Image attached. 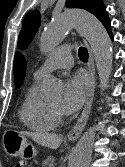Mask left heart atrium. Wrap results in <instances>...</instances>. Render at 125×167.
Instances as JSON below:
<instances>
[{
	"mask_svg": "<svg viewBox=\"0 0 125 167\" xmlns=\"http://www.w3.org/2000/svg\"><path fill=\"white\" fill-rule=\"evenodd\" d=\"M87 89L88 81L84 75L75 73L68 76L64 83L61 110L66 114L78 111L85 101Z\"/></svg>",
	"mask_w": 125,
	"mask_h": 167,
	"instance_id": "left-heart-atrium-1",
	"label": "left heart atrium"
}]
</instances>
